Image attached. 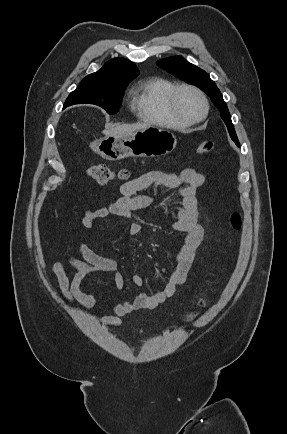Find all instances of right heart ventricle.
<instances>
[{
    "mask_svg": "<svg viewBox=\"0 0 287 434\" xmlns=\"http://www.w3.org/2000/svg\"><path fill=\"white\" fill-rule=\"evenodd\" d=\"M174 87L175 84L165 78L144 79L134 89L132 106L145 122L163 127H185L169 111L168 96Z\"/></svg>",
    "mask_w": 287,
    "mask_h": 434,
    "instance_id": "e07e8e85",
    "label": "right heart ventricle"
}]
</instances>
